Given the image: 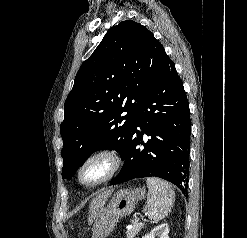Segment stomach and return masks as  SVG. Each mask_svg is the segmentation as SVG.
Instances as JSON below:
<instances>
[{"instance_id": "stomach-1", "label": "stomach", "mask_w": 247, "mask_h": 238, "mask_svg": "<svg viewBox=\"0 0 247 238\" xmlns=\"http://www.w3.org/2000/svg\"><path fill=\"white\" fill-rule=\"evenodd\" d=\"M145 196L146 191L141 187L117 191L96 218L92 238H107L118 221L132 213L138 201L144 199Z\"/></svg>"}]
</instances>
